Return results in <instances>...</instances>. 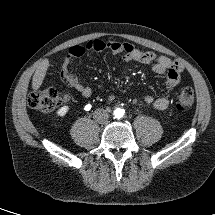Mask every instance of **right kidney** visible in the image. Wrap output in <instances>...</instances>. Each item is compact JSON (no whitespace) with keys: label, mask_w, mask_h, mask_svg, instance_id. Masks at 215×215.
I'll return each instance as SVG.
<instances>
[{"label":"right kidney","mask_w":215,"mask_h":215,"mask_svg":"<svg viewBox=\"0 0 215 215\" xmlns=\"http://www.w3.org/2000/svg\"><path fill=\"white\" fill-rule=\"evenodd\" d=\"M68 111H69V106H63L57 110L56 114L59 117H63L67 114Z\"/></svg>","instance_id":"obj_1"}]
</instances>
